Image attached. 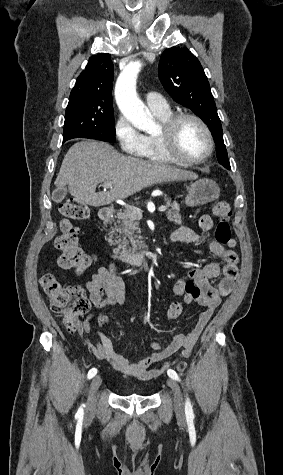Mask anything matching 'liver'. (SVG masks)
Segmentation results:
<instances>
[{"instance_id":"obj_1","label":"liver","mask_w":283,"mask_h":475,"mask_svg":"<svg viewBox=\"0 0 283 475\" xmlns=\"http://www.w3.org/2000/svg\"><path fill=\"white\" fill-rule=\"evenodd\" d=\"M197 174L167 164L119 154L106 142L86 140L69 148L56 178L58 190L69 186L73 200L87 206H107L163 182L197 180ZM101 182H113L109 192H96Z\"/></svg>"}]
</instances>
